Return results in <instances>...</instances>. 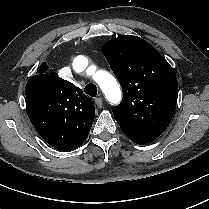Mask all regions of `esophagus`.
<instances>
[{
  "label": "esophagus",
  "mask_w": 209,
  "mask_h": 209,
  "mask_svg": "<svg viewBox=\"0 0 209 209\" xmlns=\"http://www.w3.org/2000/svg\"><path fill=\"white\" fill-rule=\"evenodd\" d=\"M95 104L97 105L98 108H102L103 106V101L102 98L98 97L94 99Z\"/></svg>",
  "instance_id": "34e87169"
}]
</instances>
